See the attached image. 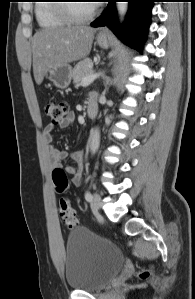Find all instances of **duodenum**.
Instances as JSON below:
<instances>
[{"label":"duodenum","instance_id":"obj_1","mask_svg":"<svg viewBox=\"0 0 195 299\" xmlns=\"http://www.w3.org/2000/svg\"><path fill=\"white\" fill-rule=\"evenodd\" d=\"M97 104L94 102H89V104L87 105V109H86V113L88 118L93 119L95 118L96 114H97Z\"/></svg>","mask_w":195,"mask_h":299}]
</instances>
